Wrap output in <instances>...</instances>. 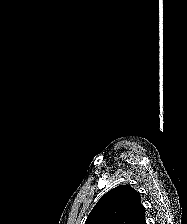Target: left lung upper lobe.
I'll list each match as a JSON object with an SVG mask.
<instances>
[{"instance_id":"left-lung-upper-lobe-1","label":"left lung upper lobe","mask_w":187,"mask_h":224,"mask_svg":"<svg viewBox=\"0 0 187 224\" xmlns=\"http://www.w3.org/2000/svg\"><path fill=\"white\" fill-rule=\"evenodd\" d=\"M85 224H146L140 194L130 185L111 189L93 207Z\"/></svg>"}]
</instances>
